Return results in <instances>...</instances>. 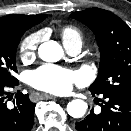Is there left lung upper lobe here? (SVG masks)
Masks as SVG:
<instances>
[{"instance_id": "1", "label": "left lung upper lobe", "mask_w": 131, "mask_h": 131, "mask_svg": "<svg viewBox=\"0 0 131 131\" xmlns=\"http://www.w3.org/2000/svg\"><path fill=\"white\" fill-rule=\"evenodd\" d=\"M70 17L95 34L101 53L98 76L89 87L94 94L131 96V29L118 16L100 8L74 12Z\"/></svg>"}]
</instances>
